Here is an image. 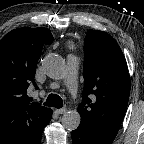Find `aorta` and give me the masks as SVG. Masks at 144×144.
I'll use <instances>...</instances> for the list:
<instances>
[{
	"label": "aorta",
	"instance_id": "obj_1",
	"mask_svg": "<svg viewBox=\"0 0 144 144\" xmlns=\"http://www.w3.org/2000/svg\"><path fill=\"white\" fill-rule=\"evenodd\" d=\"M43 68L46 75L59 80L65 76L66 67L64 60L57 55H49L43 60ZM81 117L78 111L70 110L63 114L61 122L65 129L73 131L78 128Z\"/></svg>",
	"mask_w": 144,
	"mask_h": 144
}]
</instances>
